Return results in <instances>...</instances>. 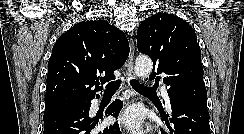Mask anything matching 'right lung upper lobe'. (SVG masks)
I'll return each mask as SVG.
<instances>
[{"label": "right lung upper lobe", "mask_w": 244, "mask_h": 134, "mask_svg": "<svg viewBox=\"0 0 244 134\" xmlns=\"http://www.w3.org/2000/svg\"><path fill=\"white\" fill-rule=\"evenodd\" d=\"M128 55L125 34L108 22L96 20L74 25L53 46L45 101L99 97L96 92L102 89L100 82L115 79L113 72L122 67Z\"/></svg>", "instance_id": "right-lung-upper-lobe-1"}]
</instances>
